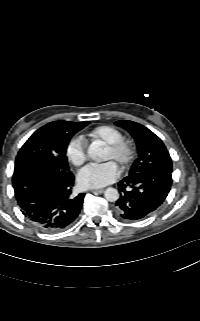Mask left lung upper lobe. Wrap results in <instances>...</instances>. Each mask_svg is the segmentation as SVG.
I'll list each match as a JSON object with an SVG mask.
<instances>
[{"label":"left lung upper lobe","instance_id":"1","mask_svg":"<svg viewBox=\"0 0 200 321\" xmlns=\"http://www.w3.org/2000/svg\"><path fill=\"white\" fill-rule=\"evenodd\" d=\"M127 130L137 144L138 158L132 164L129 174L148 170H166L172 172L171 157L161 141L145 126L128 120L115 123Z\"/></svg>","mask_w":200,"mask_h":321}]
</instances>
